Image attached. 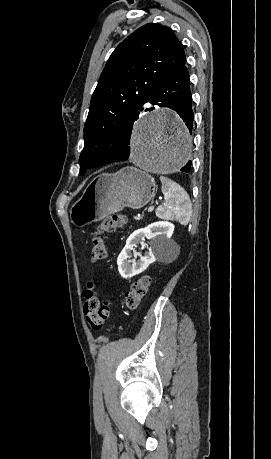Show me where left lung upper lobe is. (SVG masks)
I'll return each instance as SVG.
<instances>
[{
    "label": "left lung upper lobe",
    "mask_w": 271,
    "mask_h": 459,
    "mask_svg": "<svg viewBox=\"0 0 271 459\" xmlns=\"http://www.w3.org/2000/svg\"><path fill=\"white\" fill-rule=\"evenodd\" d=\"M185 64L183 46L167 26L146 24L117 46L91 98L80 154L81 175L125 152V134L149 95Z\"/></svg>",
    "instance_id": "1"
}]
</instances>
